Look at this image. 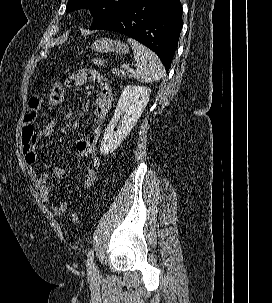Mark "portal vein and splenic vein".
<instances>
[{"label":"portal vein and splenic vein","instance_id":"1","mask_svg":"<svg viewBox=\"0 0 272 303\" xmlns=\"http://www.w3.org/2000/svg\"><path fill=\"white\" fill-rule=\"evenodd\" d=\"M124 68H125L126 70H128V71H130V70H131V68H130V66H129V65H124Z\"/></svg>","mask_w":272,"mask_h":303}]
</instances>
